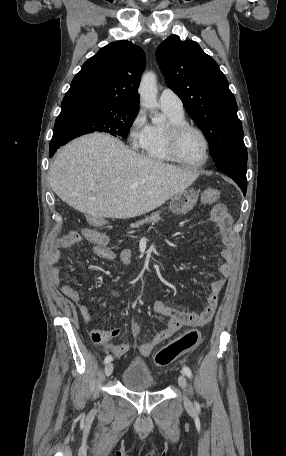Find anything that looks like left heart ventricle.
<instances>
[{"mask_svg":"<svg viewBox=\"0 0 286 456\" xmlns=\"http://www.w3.org/2000/svg\"><path fill=\"white\" fill-rule=\"evenodd\" d=\"M178 151L190 162H200L205 157V143L194 130L185 131L179 138Z\"/></svg>","mask_w":286,"mask_h":456,"instance_id":"obj_1","label":"left heart ventricle"}]
</instances>
